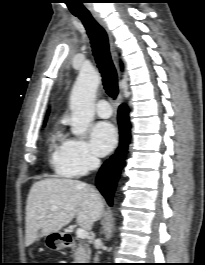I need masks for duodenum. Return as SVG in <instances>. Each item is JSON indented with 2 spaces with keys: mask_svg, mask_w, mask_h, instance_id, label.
<instances>
[{
  "mask_svg": "<svg viewBox=\"0 0 205 265\" xmlns=\"http://www.w3.org/2000/svg\"><path fill=\"white\" fill-rule=\"evenodd\" d=\"M62 243L67 247H74L75 240L70 234H63L61 237Z\"/></svg>",
  "mask_w": 205,
  "mask_h": 265,
  "instance_id": "duodenum-1",
  "label": "duodenum"
}]
</instances>
